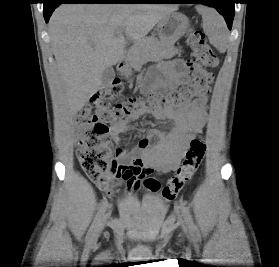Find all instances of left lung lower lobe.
I'll list each match as a JSON object with an SVG mask.
<instances>
[{"instance_id":"left-lung-lower-lobe-1","label":"left lung lower lobe","mask_w":279,"mask_h":267,"mask_svg":"<svg viewBox=\"0 0 279 267\" xmlns=\"http://www.w3.org/2000/svg\"><path fill=\"white\" fill-rule=\"evenodd\" d=\"M149 3H199L214 7L224 17L229 29L234 18L235 0H153Z\"/></svg>"}]
</instances>
